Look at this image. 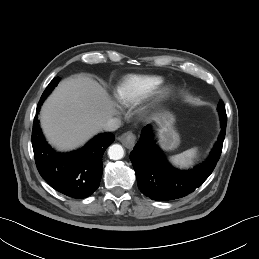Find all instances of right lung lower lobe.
<instances>
[{
	"instance_id": "98d812e1",
	"label": "right lung lower lobe",
	"mask_w": 259,
	"mask_h": 259,
	"mask_svg": "<svg viewBox=\"0 0 259 259\" xmlns=\"http://www.w3.org/2000/svg\"><path fill=\"white\" fill-rule=\"evenodd\" d=\"M114 140L111 133L100 134L79 151L61 154L45 141L38 116L33 123L32 146L40 175L56 191L71 198H86L99 187L103 172L101 159Z\"/></svg>"
}]
</instances>
